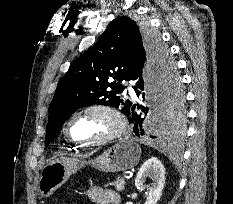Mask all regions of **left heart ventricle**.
I'll return each instance as SVG.
<instances>
[{"mask_svg": "<svg viewBox=\"0 0 233 204\" xmlns=\"http://www.w3.org/2000/svg\"><path fill=\"white\" fill-rule=\"evenodd\" d=\"M114 128L110 117L102 113H88L73 120L70 135L76 140H97L109 134Z\"/></svg>", "mask_w": 233, "mask_h": 204, "instance_id": "left-heart-ventricle-1", "label": "left heart ventricle"}]
</instances>
